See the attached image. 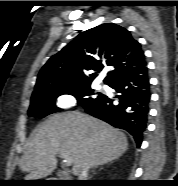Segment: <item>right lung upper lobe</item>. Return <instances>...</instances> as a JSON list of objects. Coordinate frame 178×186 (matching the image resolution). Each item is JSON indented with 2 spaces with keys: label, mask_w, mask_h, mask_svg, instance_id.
<instances>
[{
  "label": "right lung upper lobe",
  "mask_w": 178,
  "mask_h": 186,
  "mask_svg": "<svg viewBox=\"0 0 178 186\" xmlns=\"http://www.w3.org/2000/svg\"><path fill=\"white\" fill-rule=\"evenodd\" d=\"M144 62L141 45L128 30L112 23L102 24L80 33L47 61L32 95L46 89L89 85L105 66H111L113 69L104 79L108 84L121 72ZM91 70L95 72L90 74Z\"/></svg>",
  "instance_id": "1"
}]
</instances>
